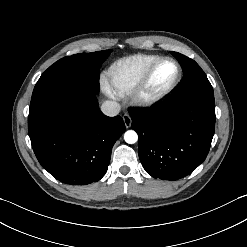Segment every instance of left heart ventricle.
<instances>
[{
    "mask_svg": "<svg viewBox=\"0 0 247 247\" xmlns=\"http://www.w3.org/2000/svg\"><path fill=\"white\" fill-rule=\"evenodd\" d=\"M177 68L171 61L161 62L154 70L148 86L146 88L147 94L158 93L167 88L176 77Z\"/></svg>",
    "mask_w": 247,
    "mask_h": 247,
    "instance_id": "left-heart-ventricle-1",
    "label": "left heart ventricle"
}]
</instances>
